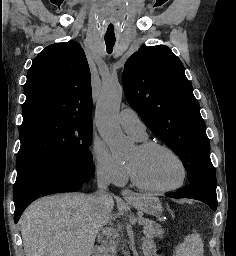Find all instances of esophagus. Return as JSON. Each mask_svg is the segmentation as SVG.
<instances>
[{"instance_id": "obj_1", "label": "esophagus", "mask_w": 236, "mask_h": 256, "mask_svg": "<svg viewBox=\"0 0 236 256\" xmlns=\"http://www.w3.org/2000/svg\"><path fill=\"white\" fill-rule=\"evenodd\" d=\"M122 195L126 200H132L136 198V194L130 189H124L122 191Z\"/></svg>"}]
</instances>
